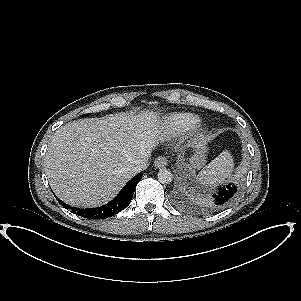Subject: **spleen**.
Returning <instances> with one entry per match:
<instances>
[{"label": "spleen", "instance_id": "obj_1", "mask_svg": "<svg viewBox=\"0 0 301 301\" xmlns=\"http://www.w3.org/2000/svg\"><path fill=\"white\" fill-rule=\"evenodd\" d=\"M233 169V158L230 152L225 150L200 171L198 179L211 185L224 183L231 178Z\"/></svg>", "mask_w": 301, "mask_h": 301}]
</instances>
